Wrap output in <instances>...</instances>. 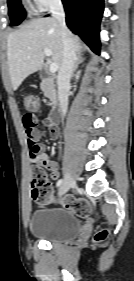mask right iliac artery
Segmentation results:
<instances>
[{
  "label": "right iliac artery",
  "instance_id": "1",
  "mask_svg": "<svg viewBox=\"0 0 134 281\" xmlns=\"http://www.w3.org/2000/svg\"><path fill=\"white\" fill-rule=\"evenodd\" d=\"M62 183H63V179H60V180H58V182H57V187H59V186H61L62 185Z\"/></svg>",
  "mask_w": 134,
  "mask_h": 281
}]
</instances>
